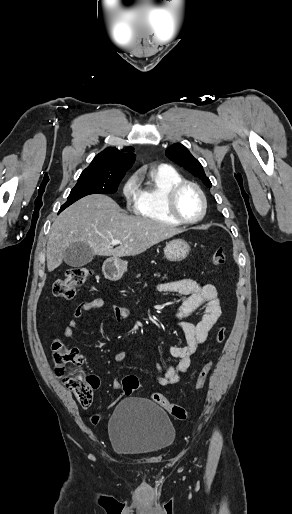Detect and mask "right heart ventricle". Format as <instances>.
<instances>
[{
	"instance_id": "1",
	"label": "right heart ventricle",
	"mask_w": 292,
	"mask_h": 514,
	"mask_svg": "<svg viewBox=\"0 0 292 514\" xmlns=\"http://www.w3.org/2000/svg\"><path fill=\"white\" fill-rule=\"evenodd\" d=\"M180 181L182 177L175 170H152L149 181L139 188L138 199L132 208L133 214L162 224L176 225L165 211L163 196L168 188Z\"/></svg>"
}]
</instances>
